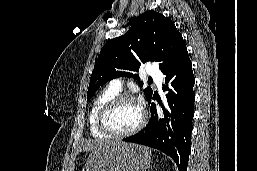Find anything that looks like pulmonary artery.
<instances>
[{
  "instance_id": "e3ab8cb5",
  "label": "pulmonary artery",
  "mask_w": 257,
  "mask_h": 171,
  "mask_svg": "<svg viewBox=\"0 0 257 171\" xmlns=\"http://www.w3.org/2000/svg\"><path fill=\"white\" fill-rule=\"evenodd\" d=\"M147 74L150 75L152 78H154L157 82V85L160 87L161 86V81H162V74L158 70L157 67L154 65H148L147 67ZM123 85V79L122 78H115L110 81L109 83V88L116 92H120L122 89Z\"/></svg>"
}]
</instances>
